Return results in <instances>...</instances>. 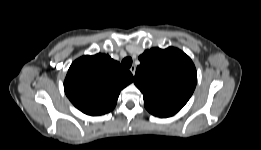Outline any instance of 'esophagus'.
Masks as SVG:
<instances>
[{"mask_svg":"<svg viewBox=\"0 0 261 150\" xmlns=\"http://www.w3.org/2000/svg\"><path fill=\"white\" fill-rule=\"evenodd\" d=\"M129 70H130V72H131L133 75H135V72H136V67H135V66H131Z\"/></svg>","mask_w":261,"mask_h":150,"instance_id":"34e87169","label":"esophagus"}]
</instances>
